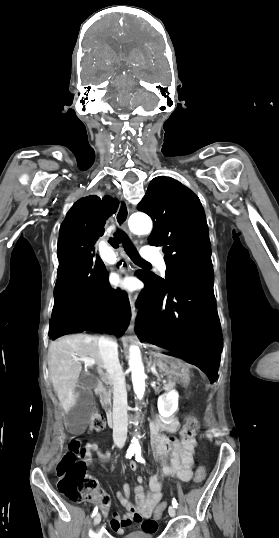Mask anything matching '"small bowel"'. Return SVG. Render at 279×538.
I'll return each instance as SVG.
<instances>
[{"mask_svg":"<svg viewBox=\"0 0 279 538\" xmlns=\"http://www.w3.org/2000/svg\"><path fill=\"white\" fill-rule=\"evenodd\" d=\"M178 429V423L164 422L156 420L151 429V447L154 456L161 459L170 454V465H162L160 473L151 475L149 479L148 490L142 485L143 477L138 476L139 485L135 487L134 494L136 505L129 501L130 487L127 483L123 484V492L117 493V499L120 504L128 510L123 516L114 515L111 520V528L118 534H123L131 526H139L146 532H155L156 521L150 518L152 510L156 507L162 498L164 481L167 478H177L182 482H188L192 477V452L195 446V440L189 439L179 441L173 434ZM165 431L166 435H159L158 431ZM87 457L86 463L91 462V454L95 452L99 459L107 462L110 459L109 452H103L99 449L96 442L87 443L85 446ZM137 464L135 461L130 463V469L135 471Z\"/></svg>","mask_w":279,"mask_h":538,"instance_id":"small-bowel-1","label":"small bowel"}]
</instances>
